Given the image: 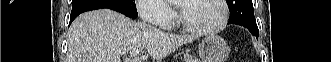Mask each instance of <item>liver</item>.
Returning a JSON list of instances; mask_svg holds the SVG:
<instances>
[{
    "instance_id": "6515ba94",
    "label": "liver",
    "mask_w": 331,
    "mask_h": 62,
    "mask_svg": "<svg viewBox=\"0 0 331 62\" xmlns=\"http://www.w3.org/2000/svg\"><path fill=\"white\" fill-rule=\"evenodd\" d=\"M197 38L165 33L112 10L100 9L83 13L72 23L67 62H121V56L133 48H144L154 62H161Z\"/></svg>"
}]
</instances>
